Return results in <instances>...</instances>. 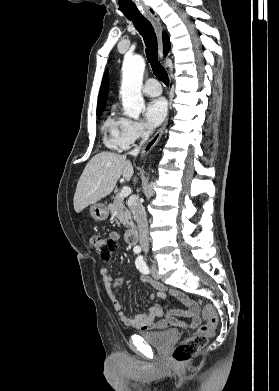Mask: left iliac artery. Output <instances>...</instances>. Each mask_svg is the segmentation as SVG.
I'll return each mask as SVG.
<instances>
[{
  "instance_id": "44dca946",
  "label": "left iliac artery",
  "mask_w": 279,
  "mask_h": 391,
  "mask_svg": "<svg viewBox=\"0 0 279 391\" xmlns=\"http://www.w3.org/2000/svg\"><path fill=\"white\" fill-rule=\"evenodd\" d=\"M137 269L143 274H148L149 273V268L147 264L145 263L144 259L142 256H138L136 261H135Z\"/></svg>"
}]
</instances>
